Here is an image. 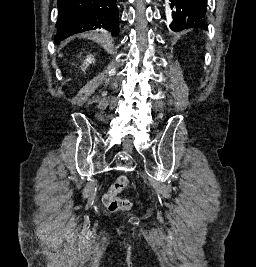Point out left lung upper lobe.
I'll return each mask as SVG.
<instances>
[{"label": "left lung upper lobe", "instance_id": "obj_1", "mask_svg": "<svg viewBox=\"0 0 256 267\" xmlns=\"http://www.w3.org/2000/svg\"><path fill=\"white\" fill-rule=\"evenodd\" d=\"M205 14H206V13H205ZM197 28L207 29V25H206V23H205V24H202L200 27H197Z\"/></svg>", "mask_w": 256, "mask_h": 267}]
</instances>
